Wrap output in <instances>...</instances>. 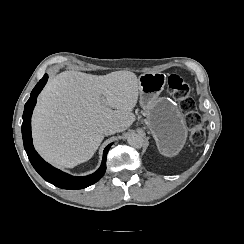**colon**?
Returning a JSON list of instances; mask_svg holds the SVG:
<instances>
[{
  "label": "colon",
  "instance_id": "5ec220e1",
  "mask_svg": "<svg viewBox=\"0 0 244 244\" xmlns=\"http://www.w3.org/2000/svg\"><path fill=\"white\" fill-rule=\"evenodd\" d=\"M168 90L175 93L176 100L180 103L183 112L188 117L191 125V140L193 143H201L205 137V131L201 126L199 115L196 112V103L191 95V88L179 75L171 74L167 79Z\"/></svg>",
  "mask_w": 244,
  "mask_h": 244
}]
</instances>
